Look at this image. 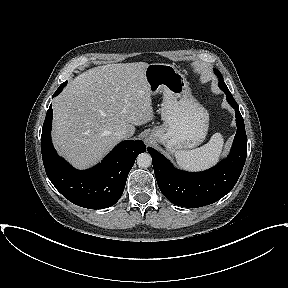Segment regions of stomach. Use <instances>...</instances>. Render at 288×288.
Returning a JSON list of instances; mask_svg holds the SVG:
<instances>
[{"label":"stomach","mask_w":288,"mask_h":288,"mask_svg":"<svg viewBox=\"0 0 288 288\" xmlns=\"http://www.w3.org/2000/svg\"><path fill=\"white\" fill-rule=\"evenodd\" d=\"M144 76L151 95H163V124L150 131V138L170 152L199 146L208 132L209 114L191 94L184 75L173 65L152 63Z\"/></svg>","instance_id":"stomach-1"}]
</instances>
